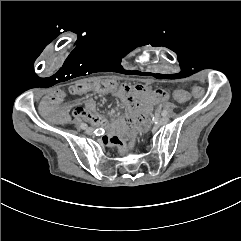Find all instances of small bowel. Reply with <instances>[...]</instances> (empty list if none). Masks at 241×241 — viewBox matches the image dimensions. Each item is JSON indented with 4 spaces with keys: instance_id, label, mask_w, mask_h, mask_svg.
<instances>
[{
    "instance_id": "obj_1",
    "label": "small bowel",
    "mask_w": 241,
    "mask_h": 241,
    "mask_svg": "<svg viewBox=\"0 0 241 241\" xmlns=\"http://www.w3.org/2000/svg\"><path fill=\"white\" fill-rule=\"evenodd\" d=\"M106 81L115 82L111 80ZM75 87L80 88L78 94H83L89 91L97 92L94 89V83L77 85ZM144 91L145 86L143 84H137L133 88H130L128 85H121L118 86V92L115 95L121 99L124 106L130 113L129 107H136L139 104V97L136 94H142ZM97 93L103 94L102 92ZM150 95L151 98L156 100L158 103L163 104L168 101V94L161 89H153ZM61 97V92L56 91L43 99L41 112L45 119H53L54 114L50 110L51 103L58 101L61 99ZM94 108V101L92 99H87L85 102V107H76L73 111V114L79 121H89L95 126L109 127V132L103 136L102 142L107 147L118 148L121 156H125L127 152H130L134 149L139 136L146 132L149 127V123H139L136 121L132 117L131 113L126 117V119L109 126L107 120L103 116L94 112ZM137 115L140 118H147L150 115V108L147 105H140L137 108ZM70 119V114L64 113L56 116L55 121L58 124H63L70 121Z\"/></svg>"
}]
</instances>
